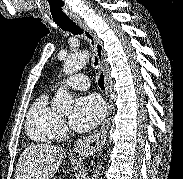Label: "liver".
<instances>
[{
	"mask_svg": "<svg viewBox=\"0 0 183 179\" xmlns=\"http://www.w3.org/2000/svg\"><path fill=\"white\" fill-rule=\"evenodd\" d=\"M65 151L59 146L32 145L18 160L15 179H51L59 169Z\"/></svg>",
	"mask_w": 183,
	"mask_h": 179,
	"instance_id": "6515ba94",
	"label": "liver"
}]
</instances>
